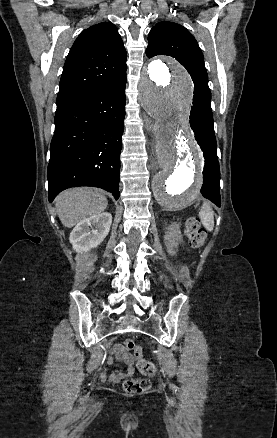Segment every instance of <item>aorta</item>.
Instances as JSON below:
<instances>
[{
    "mask_svg": "<svg viewBox=\"0 0 277 438\" xmlns=\"http://www.w3.org/2000/svg\"><path fill=\"white\" fill-rule=\"evenodd\" d=\"M139 99L154 118L160 170L153 191L166 209H182L197 197L203 158L188 126L192 82L186 70L170 59H155L142 71Z\"/></svg>",
    "mask_w": 277,
    "mask_h": 438,
    "instance_id": "762f6f07",
    "label": "aorta"
}]
</instances>
